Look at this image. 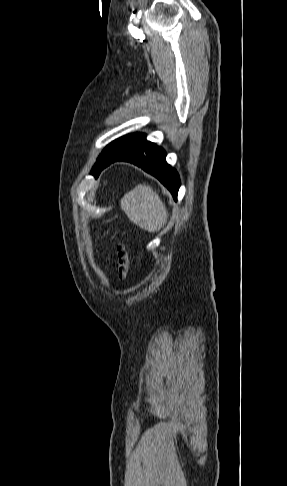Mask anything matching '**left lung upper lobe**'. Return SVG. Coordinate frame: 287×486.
I'll list each match as a JSON object with an SVG mask.
<instances>
[{
    "label": "left lung upper lobe",
    "instance_id": "left-lung-upper-lobe-1",
    "mask_svg": "<svg viewBox=\"0 0 287 486\" xmlns=\"http://www.w3.org/2000/svg\"><path fill=\"white\" fill-rule=\"evenodd\" d=\"M146 142H147L146 135L142 133L130 134L121 137L119 139H116L108 146H106L105 149L102 151V153L99 155L97 162L95 163L92 169V175L96 177V175L100 170L101 165L106 160H109L110 158L115 156H122L130 152H133L135 150H138Z\"/></svg>",
    "mask_w": 287,
    "mask_h": 486
}]
</instances>
